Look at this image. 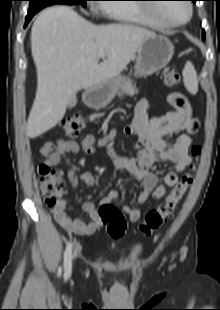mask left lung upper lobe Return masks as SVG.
<instances>
[{
  "mask_svg": "<svg viewBox=\"0 0 220 310\" xmlns=\"http://www.w3.org/2000/svg\"><path fill=\"white\" fill-rule=\"evenodd\" d=\"M191 1H196V0H191ZM202 36H203V39L205 38V32H204V30L202 31Z\"/></svg>",
  "mask_w": 220,
  "mask_h": 310,
  "instance_id": "left-lung-upper-lobe-1",
  "label": "left lung upper lobe"
}]
</instances>
